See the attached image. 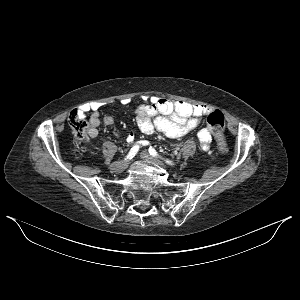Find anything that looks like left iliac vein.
<instances>
[{
	"mask_svg": "<svg viewBox=\"0 0 300 300\" xmlns=\"http://www.w3.org/2000/svg\"><path fill=\"white\" fill-rule=\"evenodd\" d=\"M141 157L142 159L146 160V161H150V162H153L159 166H162L164 167L163 163L161 161H159L158 159L152 157L151 155H149L147 152H142L141 153Z\"/></svg>",
	"mask_w": 300,
	"mask_h": 300,
	"instance_id": "1",
	"label": "left iliac vein"
}]
</instances>
